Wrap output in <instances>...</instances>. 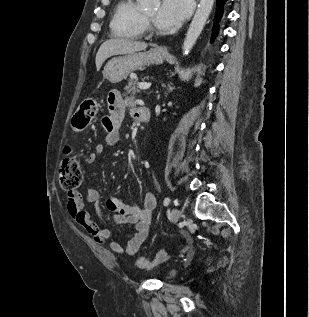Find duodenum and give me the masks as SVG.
<instances>
[{
  "label": "duodenum",
  "mask_w": 309,
  "mask_h": 317,
  "mask_svg": "<svg viewBox=\"0 0 309 317\" xmlns=\"http://www.w3.org/2000/svg\"><path fill=\"white\" fill-rule=\"evenodd\" d=\"M149 109L147 107H139L138 110V120L140 122H147L149 120Z\"/></svg>",
  "instance_id": "1"
}]
</instances>
